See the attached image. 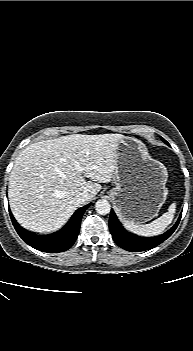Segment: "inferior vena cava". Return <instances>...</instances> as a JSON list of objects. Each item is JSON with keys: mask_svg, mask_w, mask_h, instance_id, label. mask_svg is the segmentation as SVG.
I'll use <instances>...</instances> for the list:
<instances>
[{"mask_svg": "<svg viewBox=\"0 0 193 351\" xmlns=\"http://www.w3.org/2000/svg\"><path fill=\"white\" fill-rule=\"evenodd\" d=\"M89 199V194L86 191L79 192L77 195V202L79 204H84Z\"/></svg>", "mask_w": 193, "mask_h": 351, "instance_id": "602c4592", "label": "inferior vena cava"}]
</instances>
